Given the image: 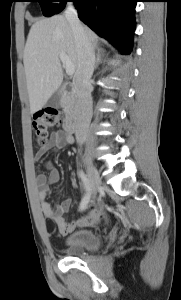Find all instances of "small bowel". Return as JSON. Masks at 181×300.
I'll return each mask as SVG.
<instances>
[{"label": "small bowel", "instance_id": "small-bowel-1", "mask_svg": "<svg viewBox=\"0 0 181 300\" xmlns=\"http://www.w3.org/2000/svg\"><path fill=\"white\" fill-rule=\"evenodd\" d=\"M73 144L74 138L71 134L64 131L53 132L48 143L39 148L35 158L36 160H39L51 149L59 150L65 145ZM46 169L48 171L47 174L41 173L36 177V183L40 188L39 199L41 203V210L45 218L53 222V224L56 226L58 233L61 235H67L78 227H87L98 223L102 218L100 211L91 212L74 221L65 220L64 214L69 211L72 201L71 199L67 198L56 206L51 205V203L48 201V197L51 193V186L59 182L60 173L50 163H46Z\"/></svg>", "mask_w": 181, "mask_h": 300}]
</instances>
